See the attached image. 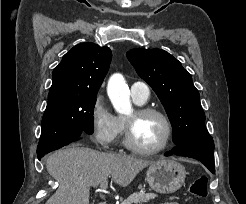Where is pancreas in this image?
I'll return each mask as SVG.
<instances>
[{"label": "pancreas", "mask_w": 246, "mask_h": 204, "mask_svg": "<svg viewBox=\"0 0 246 204\" xmlns=\"http://www.w3.org/2000/svg\"><path fill=\"white\" fill-rule=\"evenodd\" d=\"M155 197H157V195L154 193H133L123 200L121 204H143L155 199Z\"/></svg>", "instance_id": "obj_1"}]
</instances>
